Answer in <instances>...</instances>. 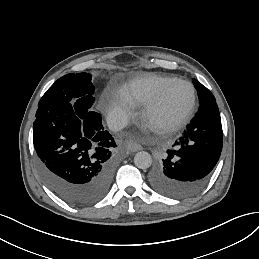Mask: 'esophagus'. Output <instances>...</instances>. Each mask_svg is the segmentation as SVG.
<instances>
[{
    "label": "esophagus",
    "instance_id": "obj_1",
    "mask_svg": "<svg viewBox=\"0 0 259 259\" xmlns=\"http://www.w3.org/2000/svg\"><path fill=\"white\" fill-rule=\"evenodd\" d=\"M126 146H127V149L132 151V152H136V151H139V150H142V146L139 145L138 143H136L135 141L133 140H129L127 143H126Z\"/></svg>",
    "mask_w": 259,
    "mask_h": 259
}]
</instances>
